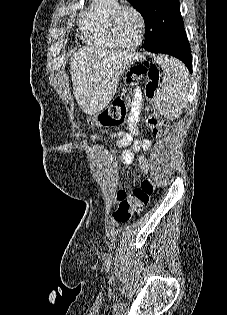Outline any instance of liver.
Segmentation results:
<instances>
[{"mask_svg":"<svg viewBox=\"0 0 227 315\" xmlns=\"http://www.w3.org/2000/svg\"><path fill=\"white\" fill-rule=\"evenodd\" d=\"M127 52L83 47L71 58V81L78 106L86 114L102 111L114 97L120 75L133 63Z\"/></svg>","mask_w":227,"mask_h":315,"instance_id":"obj_1","label":"liver"}]
</instances>
